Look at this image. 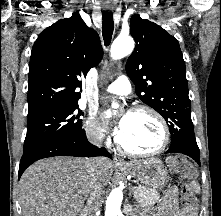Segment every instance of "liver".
<instances>
[{"label":"liver","instance_id":"liver-1","mask_svg":"<svg viewBox=\"0 0 221 216\" xmlns=\"http://www.w3.org/2000/svg\"><path fill=\"white\" fill-rule=\"evenodd\" d=\"M88 160L96 161L106 186L113 163L105 157L47 158L28 167L19 182L22 216H77L90 191Z\"/></svg>","mask_w":221,"mask_h":216}]
</instances>
